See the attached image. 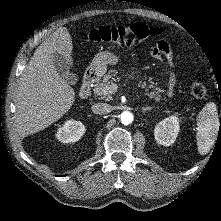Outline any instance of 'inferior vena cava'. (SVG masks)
I'll use <instances>...</instances> for the list:
<instances>
[{
    "label": "inferior vena cava",
    "instance_id": "602c4592",
    "mask_svg": "<svg viewBox=\"0 0 221 221\" xmlns=\"http://www.w3.org/2000/svg\"><path fill=\"white\" fill-rule=\"evenodd\" d=\"M93 113L103 115L111 111V107L105 103H96L91 107Z\"/></svg>",
    "mask_w": 221,
    "mask_h": 221
}]
</instances>
